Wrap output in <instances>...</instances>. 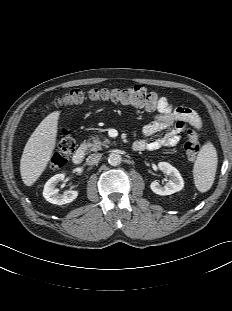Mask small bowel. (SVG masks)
Listing matches in <instances>:
<instances>
[{"label": "small bowel", "instance_id": "obj_1", "mask_svg": "<svg viewBox=\"0 0 232 311\" xmlns=\"http://www.w3.org/2000/svg\"><path fill=\"white\" fill-rule=\"evenodd\" d=\"M188 125L196 129L201 128L202 121L198 113L186 106L175 107L167 98L161 97L157 113L143 127V134L150 137L155 133L166 131L165 135L153 140H138V142L144 144L142 150L154 151L163 147H173L178 144Z\"/></svg>", "mask_w": 232, "mask_h": 311}]
</instances>
